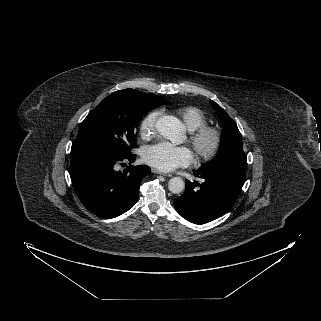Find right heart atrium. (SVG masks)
Masks as SVG:
<instances>
[{
  "instance_id": "obj_1",
  "label": "right heart atrium",
  "mask_w": 321,
  "mask_h": 321,
  "mask_svg": "<svg viewBox=\"0 0 321 321\" xmlns=\"http://www.w3.org/2000/svg\"><path fill=\"white\" fill-rule=\"evenodd\" d=\"M158 116L159 112L153 111L147 114L141 121L140 136L143 139H149L154 135Z\"/></svg>"
}]
</instances>
